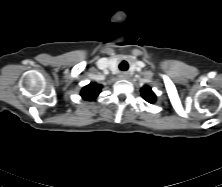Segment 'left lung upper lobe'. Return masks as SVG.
I'll return each instance as SVG.
<instances>
[{
	"label": "left lung upper lobe",
	"mask_w": 222,
	"mask_h": 187,
	"mask_svg": "<svg viewBox=\"0 0 222 187\" xmlns=\"http://www.w3.org/2000/svg\"><path fill=\"white\" fill-rule=\"evenodd\" d=\"M142 97L149 103H154L156 101V95L152 91V89L148 86H144L141 89Z\"/></svg>",
	"instance_id": "5c2ea615"
}]
</instances>
